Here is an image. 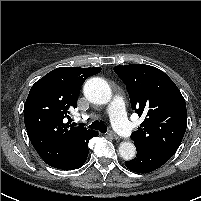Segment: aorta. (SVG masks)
I'll use <instances>...</instances> for the list:
<instances>
[{"label":"aorta","mask_w":201,"mask_h":201,"mask_svg":"<svg viewBox=\"0 0 201 201\" xmlns=\"http://www.w3.org/2000/svg\"><path fill=\"white\" fill-rule=\"evenodd\" d=\"M85 97L95 104H106L112 97L109 84L102 78L94 77L87 80L83 87ZM119 154L124 160H132L136 155V148L131 142L119 145Z\"/></svg>","instance_id":"1"}]
</instances>
